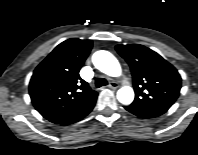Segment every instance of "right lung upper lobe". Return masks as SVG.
Returning <instances> with one entry per match:
<instances>
[{
	"mask_svg": "<svg viewBox=\"0 0 198 155\" xmlns=\"http://www.w3.org/2000/svg\"><path fill=\"white\" fill-rule=\"evenodd\" d=\"M91 49V40L71 38L59 44L37 66L29 93L34 107L44 118L68 113L97 95L79 75Z\"/></svg>",
	"mask_w": 198,
	"mask_h": 155,
	"instance_id": "right-lung-upper-lobe-1",
	"label": "right lung upper lobe"
}]
</instances>
